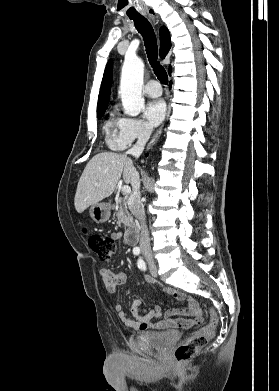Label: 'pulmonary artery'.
<instances>
[{"mask_svg":"<svg viewBox=\"0 0 279 391\" xmlns=\"http://www.w3.org/2000/svg\"><path fill=\"white\" fill-rule=\"evenodd\" d=\"M144 93L150 97H158L162 94L159 83L155 80L149 81L144 87Z\"/></svg>","mask_w":279,"mask_h":391,"instance_id":"pulmonary-artery-1","label":"pulmonary artery"}]
</instances>
